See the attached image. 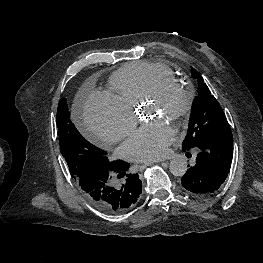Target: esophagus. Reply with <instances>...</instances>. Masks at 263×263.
<instances>
[{
	"instance_id": "34e87169",
	"label": "esophagus",
	"mask_w": 263,
	"mask_h": 263,
	"mask_svg": "<svg viewBox=\"0 0 263 263\" xmlns=\"http://www.w3.org/2000/svg\"><path fill=\"white\" fill-rule=\"evenodd\" d=\"M154 163H156V162H147V163L143 164L142 167L150 166V165H152V164H154Z\"/></svg>"
}]
</instances>
